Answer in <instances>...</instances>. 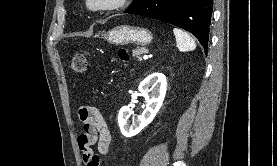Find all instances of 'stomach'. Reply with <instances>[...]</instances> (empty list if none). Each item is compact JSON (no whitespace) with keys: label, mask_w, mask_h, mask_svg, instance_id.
I'll return each mask as SVG.
<instances>
[{"label":"stomach","mask_w":277,"mask_h":166,"mask_svg":"<svg viewBox=\"0 0 277 166\" xmlns=\"http://www.w3.org/2000/svg\"><path fill=\"white\" fill-rule=\"evenodd\" d=\"M103 38L113 45H148L152 41V34L149 30L129 25L116 26L104 33Z\"/></svg>","instance_id":"1"}]
</instances>
